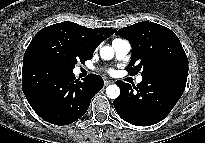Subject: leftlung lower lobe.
Segmentation results:
<instances>
[{
    "label": "left lung lower lobe",
    "instance_id": "obj_1",
    "mask_svg": "<svg viewBox=\"0 0 205 143\" xmlns=\"http://www.w3.org/2000/svg\"><path fill=\"white\" fill-rule=\"evenodd\" d=\"M188 68L183 66L156 70L137 86L117 81L121 93L114 100L118 115L136 126H150L162 121L182 96Z\"/></svg>",
    "mask_w": 205,
    "mask_h": 143
}]
</instances>
